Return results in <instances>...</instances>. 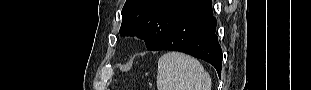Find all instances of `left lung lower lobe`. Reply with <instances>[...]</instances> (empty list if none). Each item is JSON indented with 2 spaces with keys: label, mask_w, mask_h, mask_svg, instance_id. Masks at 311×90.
<instances>
[{
  "label": "left lung lower lobe",
  "mask_w": 311,
  "mask_h": 90,
  "mask_svg": "<svg viewBox=\"0 0 311 90\" xmlns=\"http://www.w3.org/2000/svg\"><path fill=\"white\" fill-rule=\"evenodd\" d=\"M215 30L216 19L212 14L211 0H203L182 15L151 51L175 50L187 53L209 62L220 75L222 50Z\"/></svg>",
  "instance_id": "1"
}]
</instances>
